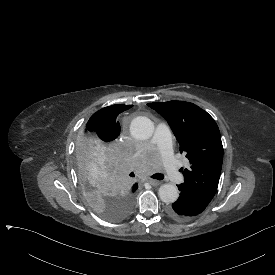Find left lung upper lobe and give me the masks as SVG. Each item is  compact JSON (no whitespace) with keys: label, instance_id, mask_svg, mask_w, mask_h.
Instances as JSON below:
<instances>
[{"label":"left lung upper lobe","instance_id":"obj_1","mask_svg":"<svg viewBox=\"0 0 275 275\" xmlns=\"http://www.w3.org/2000/svg\"><path fill=\"white\" fill-rule=\"evenodd\" d=\"M163 116L185 152L190 168L183 170L184 183L203 196L212 199L220 178L223 146L219 128L203 109L190 102L170 101L148 103Z\"/></svg>","mask_w":275,"mask_h":275}]
</instances>
